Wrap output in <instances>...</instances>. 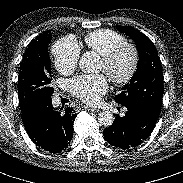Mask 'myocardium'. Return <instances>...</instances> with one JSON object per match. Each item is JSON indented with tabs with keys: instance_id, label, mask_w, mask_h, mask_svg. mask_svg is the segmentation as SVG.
Returning <instances> with one entry per match:
<instances>
[{
	"instance_id": "f54148a6",
	"label": "myocardium",
	"mask_w": 183,
	"mask_h": 183,
	"mask_svg": "<svg viewBox=\"0 0 183 183\" xmlns=\"http://www.w3.org/2000/svg\"><path fill=\"white\" fill-rule=\"evenodd\" d=\"M125 52H128L131 56L130 66L124 74L116 75L113 73L112 67L117 59ZM101 59L105 66L104 71L111 81L117 85H123L131 81L135 76L139 67L140 53L135 45L125 43L102 55Z\"/></svg>"
}]
</instances>
